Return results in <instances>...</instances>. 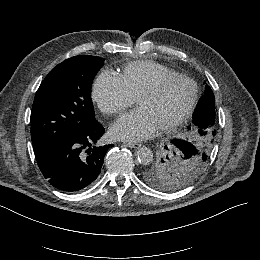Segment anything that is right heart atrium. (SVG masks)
<instances>
[{
	"label": "right heart atrium",
	"instance_id": "1",
	"mask_svg": "<svg viewBox=\"0 0 260 260\" xmlns=\"http://www.w3.org/2000/svg\"><path fill=\"white\" fill-rule=\"evenodd\" d=\"M92 98L100 111L108 116L120 113L133 103L120 78L109 71H103L96 77Z\"/></svg>",
	"mask_w": 260,
	"mask_h": 260
}]
</instances>
